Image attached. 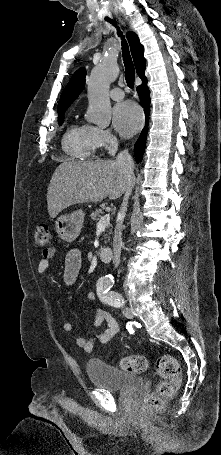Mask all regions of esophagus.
<instances>
[{
  "label": "esophagus",
  "instance_id": "34e87169",
  "mask_svg": "<svg viewBox=\"0 0 221 455\" xmlns=\"http://www.w3.org/2000/svg\"><path fill=\"white\" fill-rule=\"evenodd\" d=\"M119 21H120L121 23H123V24H124V21H123V20H121V18H119Z\"/></svg>",
  "mask_w": 221,
  "mask_h": 455
}]
</instances>
